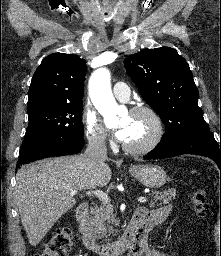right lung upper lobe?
Returning a JSON list of instances; mask_svg holds the SVG:
<instances>
[{"label":"right lung upper lobe","instance_id":"cb5924a9","mask_svg":"<svg viewBox=\"0 0 221 256\" xmlns=\"http://www.w3.org/2000/svg\"><path fill=\"white\" fill-rule=\"evenodd\" d=\"M86 69V61L73 54L53 53L44 58L31 80L27 110L82 103Z\"/></svg>","mask_w":221,"mask_h":256}]
</instances>
